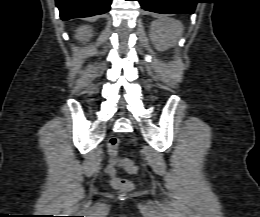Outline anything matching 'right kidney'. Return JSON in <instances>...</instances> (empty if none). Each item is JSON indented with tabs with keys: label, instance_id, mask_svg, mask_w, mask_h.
Segmentation results:
<instances>
[{
	"label": "right kidney",
	"instance_id": "ca27d5eb",
	"mask_svg": "<svg viewBox=\"0 0 260 217\" xmlns=\"http://www.w3.org/2000/svg\"><path fill=\"white\" fill-rule=\"evenodd\" d=\"M91 36H92V30L88 26H82L78 28L75 35L76 39L80 41H88Z\"/></svg>",
	"mask_w": 260,
	"mask_h": 217
}]
</instances>
